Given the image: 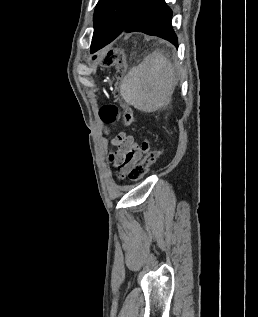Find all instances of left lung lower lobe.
<instances>
[{
	"instance_id": "obj_1",
	"label": "left lung lower lobe",
	"mask_w": 258,
	"mask_h": 317,
	"mask_svg": "<svg viewBox=\"0 0 258 317\" xmlns=\"http://www.w3.org/2000/svg\"><path fill=\"white\" fill-rule=\"evenodd\" d=\"M172 10L165 0H131L124 24L119 28L99 27L94 29L91 53L112 42L123 31L143 32L161 37L178 47L176 34L171 26Z\"/></svg>"
}]
</instances>
